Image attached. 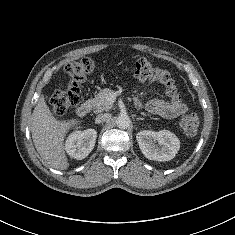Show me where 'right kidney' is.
<instances>
[{
	"mask_svg": "<svg viewBox=\"0 0 235 235\" xmlns=\"http://www.w3.org/2000/svg\"><path fill=\"white\" fill-rule=\"evenodd\" d=\"M97 138L95 129L75 131L71 133L65 143V150L71 158L81 160L93 150Z\"/></svg>",
	"mask_w": 235,
	"mask_h": 235,
	"instance_id": "obj_1",
	"label": "right kidney"
}]
</instances>
